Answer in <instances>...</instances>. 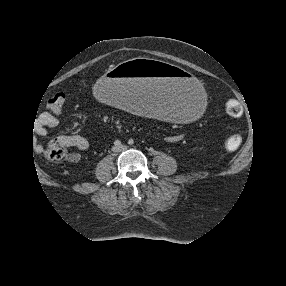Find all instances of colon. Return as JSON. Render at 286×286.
Here are the masks:
<instances>
[{"instance_id":"colon-1","label":"colon","mask_w":286,"mask_h":286,"mask_svg":"<svg viewBox=\"0 0 286 286\" xmlns=\"http://www.w3.org/2000/svg\"><path fill=\"white\" fill-rule=\"evenodd\" d=\"M66 103V97L63 93L52 96L47 101V107L53 113H60ZM226 113L233 118H240L243 115V107L237 100L230 99L225 103ZM242 144V137L239 134H230L224 140V147L228 151H236ZM46 156L52 161H61L66 158L67 153L64 145L59 141L50 142L45 149Z\"/></svg>"}]
</instances>
